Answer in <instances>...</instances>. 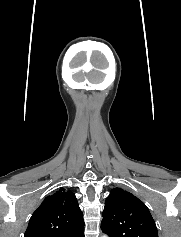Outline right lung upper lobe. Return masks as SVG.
<instances>
[{
    "label": "right lung upper lobe",
    "instance_id": "1",
    "mask_svg": "<svg viewBox=\"0 0 181 237\" xmlns=\"http://www.w3.org/2000/svg\"><path fill=\"white\" fill-rule=\"evenodd\" d=\"M83 214L73 192L60 188L30 218L24 237H83Z\"/></svg>",
    "mask_w": 181,
    "mask_h": 237
}]
</instances>
